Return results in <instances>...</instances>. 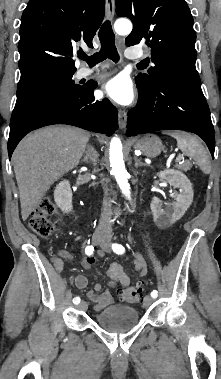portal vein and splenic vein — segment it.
<instances>
[{"label":"portal vein and splenic vein","mask_w":221,"mask_h":379,"mask_svg":"<svg viewBox=\"0 0 221 379\" xmlns=\"http://www.w3.org/2000/svg\"><path fill=\"white\" fill-rule=\"evenodd\" d=\"M175 156V155H174ZM173 156V157H174ZM184 158L182 156H176L175 162H181Z\"/></svg>","instance_id":"18ae733b"}]
</instances>
